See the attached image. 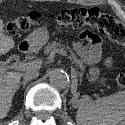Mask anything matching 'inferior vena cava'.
Returning a JSON list of instances; mask_svg holds the SVG:
<instances>
[{
	"label": "inferior vena cava",
	"mask_w": 125,
	"mask_h": 125,
	"mask_svg": "<svg viewBox=\"0 0 125 125\" xmlns=\"http://www.w3.org/2000/svg\"><path fill=\"white\" fill-rule=\"evenodd\" d=\"M39 76V71L38 70H29L26 73L23 74L24 79L26 80H31L34 78H37Z\"/></svg>",
	"instance_id": "602c4592"
}]
</instances>
